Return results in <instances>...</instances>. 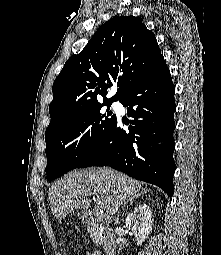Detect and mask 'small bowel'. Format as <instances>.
<instances>
[{
    "label": "small bowel",
    "mask_w": 221,
    "mask_h": 255,
    "mask_svg": "<svg viewBox=\"0 0 221 255\" xmlns=\"http://www.w3.org/2000/svg\"><path fill=\"white\" fill-rule=\"evenodd\" d=\"M86 255H102L100 251H95L93 253H87Z\"/></svg>",
    "instance_id": "c3829d8e"
}]
</instances>
